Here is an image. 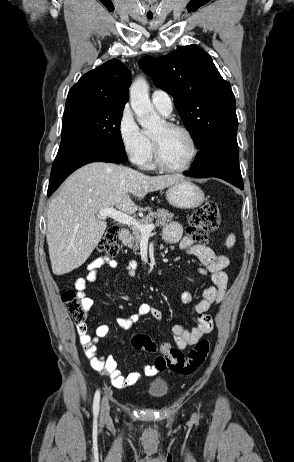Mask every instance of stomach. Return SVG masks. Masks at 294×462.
I'll return each instance as SVG.
<instances>
[{"mask_svg":"<svg viewBox=\"0 0 294 462\" xmlns=\"http://www.w3.org/2000/svg\"><path fill=\"white\" fill-rule=\"evenodd\" d=\"M166 198L174 207L192 209L204 202L205 195L200 187L189 180L183 179L167 189Z\"/></svg>","mask_w":294,"mask_h":462,"instance_id":"0dacf381","label":"stomach"}]
</instances>
